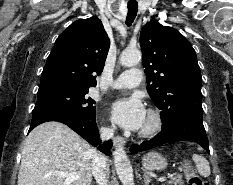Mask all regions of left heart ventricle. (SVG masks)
I'll use <instances>...</instances> for the list:
<instances>
[{"label":"left heart ventricle","instance_id":"b2bd125f","mask_svg":"<svg viewBox=\"0 0 233 185\" xmlns=\"http://www.w3.org/2000/svg\"><path fill=\"white\" fill-rule=\"evenodd\" d=\"M150 122H151V120H150V118H149V116L147 114L141 129H144V128L148 127L150 125Z\"/></svg>","mask_w":233,"mask_h":185}]
</instances>
